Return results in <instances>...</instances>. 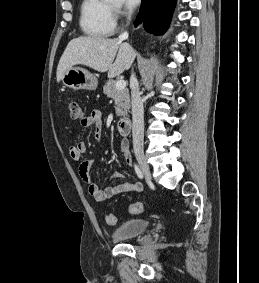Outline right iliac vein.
<instances>
[{"label":"right iliac vein","instance_id":"obj_1","mask_svg":"<svg viewBox=\"0 0 259 283\" xmlns=\"http://www.w3.org/2000/svg\"><path fill=\"white\" fill-rule=\"evenodd\" d=\"M136 158H137V161L140 164L142 170L144 171L145 175L147 176V178L151 179L149 164L146 161L144 154L140 151H137L136 152Z\"/></svg>","mask_w":259,"mask_h":283}]
</instances>
